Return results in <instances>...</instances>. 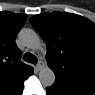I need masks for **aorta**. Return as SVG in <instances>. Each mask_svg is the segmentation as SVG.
<instances>
[{"label":"aorta","mask_w":95,"mask_h":95,"mask_svg":"<svg viewBox=\"0 0 95 95\" xmlns=\"http://www.w3.org/2000/svg\"><path fill=\"white\" fill-rule=\"evenodd\" d=\"M19 40L30 49H37L41 46V40L38 34L32 29H22L19 33ZM39 80L44 87L52 86L55 81L53 70L46 66L39 72Z\"/></svg>","instance_id":"1"}]
</instances>
